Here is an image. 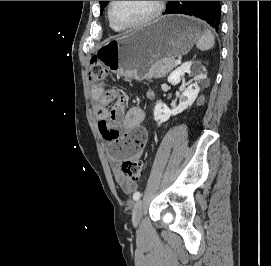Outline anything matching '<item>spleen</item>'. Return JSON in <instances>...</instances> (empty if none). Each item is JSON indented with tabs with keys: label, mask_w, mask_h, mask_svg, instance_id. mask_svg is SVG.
Segmentation results:
<instances>
[{
	"label": "spleen",
	"mask_w": 271,
	"mask_h": 266,
	"mask_svg": "<svg viewBox=\"0 0 271 266\" xmlns=\"http://www.w3.org/2000/svg\"><path fill=\"white\" fill-rule=\"evenodd\" d=\"M215 38L210 30H205L196 42V47L201 51L210 50L214 47Z\"/></svg>",
	"instance_id": "obj_1"
}]
</instances>
